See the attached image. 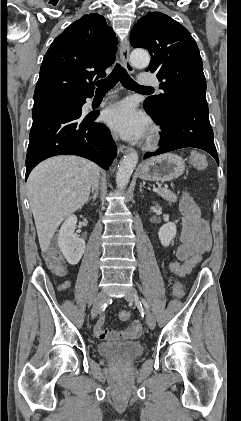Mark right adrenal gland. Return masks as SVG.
Instances as JSON below:
<instances>
[{
    "instance_id": "obj_1",
    "label": "right adrenal gland",
    "mask_w": 241,
    "mask_h": 421,
    "mask_svg": "<svg viewBox=\"0 0 241 421\" xmlns=\"http://www.w3.org/2000/svg\"><path fill=\"white\" fill-rule=\"evenodd\" d=\"M98 194H99L98 189H95V190L93 191V196L89 197V198L87 199L86 203H88L90 200L95 201V200H96V198L98 197Z\"/></svg>"
}]
</instances>
